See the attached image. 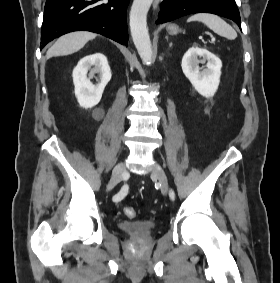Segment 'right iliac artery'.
<instances>
[{
	"mask_svg": "<svg viewBox=\"0 0 280 283\" xmlns=\"http://www.w3.org/2000/svg\"><path fill=\"white\" fill-rule=\"evenodd\" d=\"M125 191H126V190L123 188L118 194H116V195L113 197V201H115V202L121 201V200L126 196Z\"/></svg>",
	"mask_w": 280,
	"mask_h": 283,
	"instance_id": "1",
	"label": "right iliac artery"
}]
</instances>
